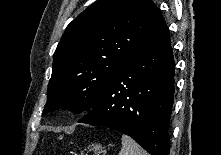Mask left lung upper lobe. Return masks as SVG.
Returning <instances> with one entry per match:
<instances>
[{
    "label": "left lung upper lobe",
    "mask_w": 221,
    "mask_h": 155,
    "mask_svg": "<svg viewBox=\"0 0 221 155\" xmlns=\"http://www.w3.org/2000/svg\"><path fill=\"white\" fill-rule=\"evenodd\" d=\"M161 17L152 0H98L66 28L53 57L43 114L91 109Z\"/></svg>",
    "instance_id": "left-lung-upper-lobe-1"
}]
</instances>
